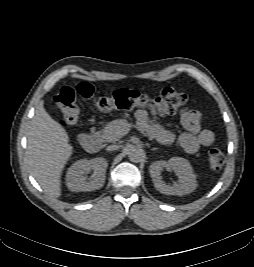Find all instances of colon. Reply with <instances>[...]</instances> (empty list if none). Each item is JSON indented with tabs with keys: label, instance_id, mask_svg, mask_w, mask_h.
<instances>
[{
	"label": "colon",
	"instance_id": "obj_1",
	"mask_svg": "<svg viewBox=\"0 0 254 267\" xmlns=\"http://www.w3.org/2000/svg\"><path fill=\"white\" fill-rule=\"evenodd\" d=\"M78 98L91 102L102 112L114 109H147L155 115L173 114L187 103V96L173 87H167L153 97L129 89H121L111 95L100 96L88 83L71 84L63 86L54 97L56 105L62 112L60 123L63 127L77 123L79 118ZM207 161L210 168L217 171L223 167L225 156L219 149H211L208 152Z\"/></svg>",
	"mask_w": 254,
	"mask_h": 267
}]
</instances>
